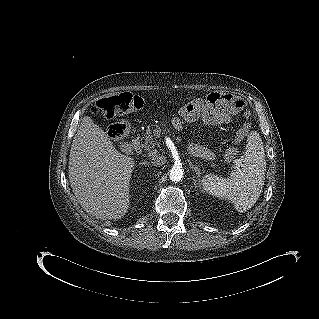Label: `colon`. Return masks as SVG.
Instances as JSON below:
<instances>
[{"label":"colon","mask_w":319,"mask_h":319,"mask_svg":"<svg viewBox=\"0 0 319 319\" xmlns=\"http://www.w3.org/2000/svg\"><path fill=\"white\" fill-rule=\"evenodd\" d=\"M206 102L209 106L218 108L220 106H228L233 110H240L244 107V102L240 97L232 93L211 92L206 96ZM144 101L141 97L133 95L129 92L104 97L95 103L93 112L100 114L108 119L124 115L143 107ZM129 132V123L126 120H120L112 124L108 129V135L113 140L124 138ZM242 134L238 133L236 140L241 138ZM239 153L237 147H229L225 150L226 158H233Z\"/></svg>","instance_id":"colon-1"}]
</instances>
